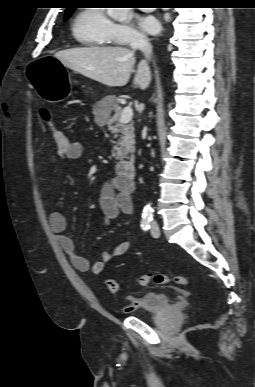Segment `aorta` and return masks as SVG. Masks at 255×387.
Returning <instances> with one entry per match:
<instances>
[{
  "label": "aorta",
  "instance_id": "762f6f07",
  "mask_svg": "<svg viewBox=\"0 0 255 387\" xmlns=\"http://www.w3.org/2000/svg\"><path fill=\"white\" fill-rule=\"evenodd\" d=\"M132 8H108V14L114 20L118 22L127 21L132 15ZM151 203H149L144 209V215L150 216L152 214Z\"/></svg>",
  "mask_w": 255,
  "mask_h": 387
}]
</instances>
